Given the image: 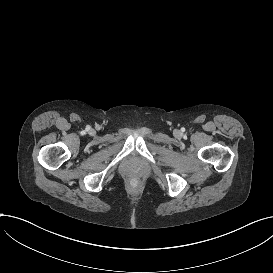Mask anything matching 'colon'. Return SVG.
Segmentation results:
<instances>
[{
    "instance_id": "1",
    "label": "colon",
    "mask_w": 273,
    "mask_h": 273,
    "mask_svg": "<svg viewBox=\"0 0 273 273\" xmlns=\"http://www.w3.org/2000/svg\"><path fill=\"white\" fill-rule=\"evenodd\" d=\"M141 189V183L138 179L133 178L128 182V190L131 193H138Z\"/></svg>"
}]
</instances>
